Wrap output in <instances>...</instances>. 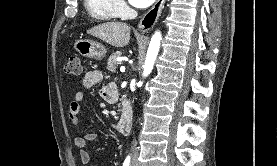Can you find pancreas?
<instances>
[{
    "label": "pancreas",
    "mask_w": 277,
    "mask_h": 166,
    "mask_svg": "<svg viewBox=\"0 0 277 166\" xmlns=\"http://www.w3.org/2000/svg\"><path fill=\"white\" fill-rule=\"evenodd\" d=\"M121 57V53L120 52H116L113 53L107 62V69L111 72H115L116 71V66H117V59Z\"/></svg>",
    "instance_id": "1"
}]
</instances>
